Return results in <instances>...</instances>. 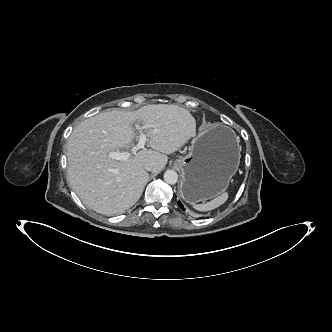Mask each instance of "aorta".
Returning a JSON list of instances; mask_svg holds the SVG:
<instances>
[{"instance_id": "aorta-1", "label": "aorta", "mask_w": 332, "mask_h": 332, "mask_svg": "<svg viewBox=\"0 0 332 332\" xmlns=\"http://www.w3.org/2000/svg\"><path fill=\"white\" fill-rule=\"evenodd\" d=\"M163 178L166 183L173 185L176 184L178 181V174L174 170H167L164 173Z\"/></svg>"}]
</instances>
